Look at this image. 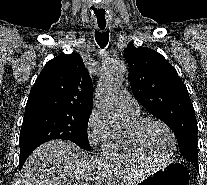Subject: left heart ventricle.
<instances>
[{
	"label": "left heart ventricle",
	"instance_id": "obj_1",
	"mask_svg": "<svg viewBox=\"0 0 207 185\" xmlns=\"http://www.w3.org/2000/svg\"><path fill=\"white\" fill-rule=\"evenodd\" d=\"M141 141L148 153L157 159L167 157L172 149L169 133L156 122H149L143 127Z\"/></svg>",
	"mask_w": 207,
	"mask_h": 185
}]
</instances>
